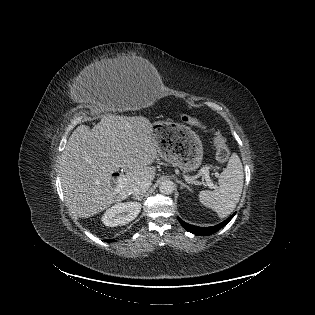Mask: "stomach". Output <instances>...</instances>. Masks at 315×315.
Returning <instances> with one entry per match:
<instances>
[{
	"mask_svg": "<svg viewBox=\"0 0 315 315\" xmlns=\"http://www.w3.org/2000/svg\"><path fill=\"white\" fill-rule=\"evenodd\" d=\"M152 136L158 142V154L184 172L195 171L203 159V145L189 127L173 121L151 123Z\"/></svg>",
	"mask_w": 315,
	"mask_h": 315,
	"instance_id": "obj_1",
	"label": "stomach"
}]
</instances>
